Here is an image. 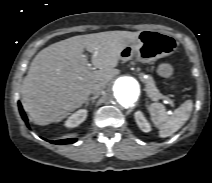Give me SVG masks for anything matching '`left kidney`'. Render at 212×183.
Returning <instances> with one entry per match:
<instances>
[{
	"instance_id": "left-kidney-1",
	"label": "left kidney",
	"mask_w": 212,
	"mask_h": 183,
	"mask_svg": "<svg viewBox=\"0 0 212 183\" xmlns=\"http://www.w3.org/2000/svg\"><path fill=\"white\" fill-rule=\"evenodd\" d=\"M134 117L137 125L143 132L151 131V126L141 111H136Z\"/></svg>"
}]
</instances>
